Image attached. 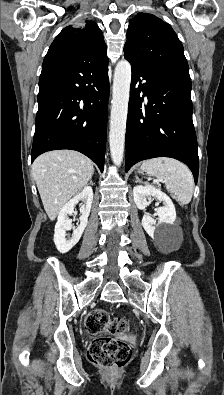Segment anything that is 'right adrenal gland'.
<instances>
[{"label": "right adrenal gland", "mask_w": 224, "mask_h": 395, "mask_svg": "<svg viewBox=\"0 0 224 395\" xmlns=\"http://www.w3.org/2000/svg\"><path fill=\"white\" fill-rule=\"evenodd\" d=\"M89 183H90L91 185H93V182H92V180H91V179H90Z\"/></svg>", "instance_id": "2a0ac1e0"}]
</instances>
